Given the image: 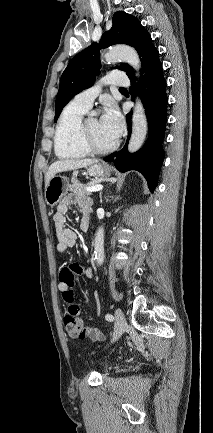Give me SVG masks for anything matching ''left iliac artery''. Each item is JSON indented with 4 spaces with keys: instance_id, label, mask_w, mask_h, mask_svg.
<instances>
[{
    "instance_id": "obj_1",
    "label": "left iliac artery",
    "mask_w": 213,
    "mask_h": 433,
    "mask_svg": "<svg viewBox=\"0 0 213 433\" xmlns=\"http://www.w3.org/2000/svg\"><path fill=\"white\" fill-rule=\"evenodd\" d=\"M105 318H106V320H108V321H113V320H114V317H113V315H111V314H106V315H105Z\"/></svg>"
}]
</instances>
